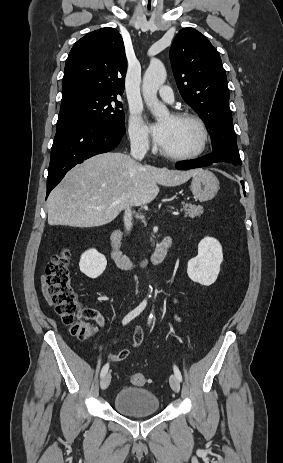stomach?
<instances>
[{
  "label": "stomach",
  "instance_id": "1",
  "mask_svg": "<svg viewBox=\"0 0 283 463\" xmlns=\"http://www.w3.org/2000/svg\"><path fill=\"white\" fill-rule=\"evenodd\" d=\"M190 188L194 197L204 202L215 197L219 190V181L211 171L199 169L192 178Z\"/></svg>",
  "mask_w": 283,
  "mask_h": 463
}]
</instances>
